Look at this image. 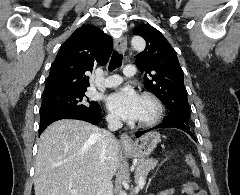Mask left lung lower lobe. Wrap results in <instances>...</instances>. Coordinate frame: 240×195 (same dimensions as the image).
I'll return each mask as SVG.
<instances>
[{
	"label": "left lung lower lobe",
	"instance_id": "1",
	"mask_svg": "<svg viewBox=\"0 0 240 195\" xmlns=\"http://www.w3.org/2000/svg\"><path fill=\"white\" fill-rule=\"evenodd\" d=\"M170 127L181 129V130L185 131L186 133H189L192 136V138H194L193 134L190 131V126L189 125L178 123V122H170V121H163L161 124L151 128V129L136 132L135 135L137 137H140L142 134H144L148 131H151V130H154V129H157V128H170Z\"/></svg>",
	"mask_w": 240,
	"mask_h": 195
}]
</instances>
